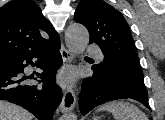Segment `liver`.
Segmentation results:
<instances>
[{
	"instance_id": "6515ba94",
	"label": "liver",
	"mask_w": 165,
	"mask_h": 120,
	"mask_svg": "<svg viewBox=\"0 0 165 120\" xmlns=\"http://www.w3.org/2000/svg\"><path fill=\"white\" fill-rule=\"evenodd\" d=\"M26 109L7 101H0V120H32Z\"/></svg>"
}]
</instances>
